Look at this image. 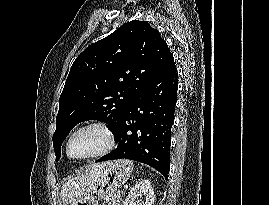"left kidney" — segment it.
Masks as SVG:
<instances>
[{"instance_id": "1", "label": "left kidney", "mask_w": 269, "mask_h": 205, "mask_svg": "<svg viewBox=\"0 0 269 205\" xmlns=\"http://www.w3.org/2000/svg\"><path fill=\"white\" fill-rule=\"evenodd\" d=\"M141 192L145 199L136 201L137 194ZM123 205H154V191L149 180L137 183L128 193Z\"/></svg>"}]
</instances>
